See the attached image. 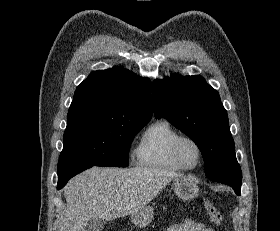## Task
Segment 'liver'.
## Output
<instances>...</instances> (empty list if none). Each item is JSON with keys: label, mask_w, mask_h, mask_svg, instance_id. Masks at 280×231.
<instances>
[{"label": "liver", "mask_w": 280, "mask_h": 231, "mask_svg": "<svg viewBox=\"0 0 280 231\" xmlns=\"http://www.w3.org/2000/svg\"><path fill=\"white\" fill-rule=\"evenodd\" d=\"M182 173L153 167H91L64 187L66 209L59 231H85L92 219H116L140 213L172 179Z\"/></svg>", "instance_id": "liver-1"}]
</instances>
